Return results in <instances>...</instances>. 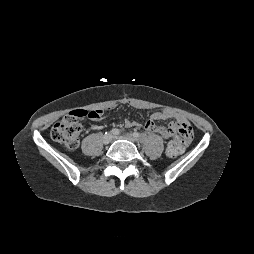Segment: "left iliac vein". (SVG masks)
<instances>
[{"label": "left iliac vein", "instance_id": "1", "mask_svg": "<svg viewBox=\"0 0 254 254\" xmlns=\"http://www.w3.org/2000/svg\"><path fill=\"white\" fill-rule=\"evenodd\" d=\"M120 138H123V139H126L130 142H135V138L132 134L128 133V134H125L123 136H116L115 139H120Z\"/></svg>", "mask_w": 254, "mask_h": 254}]
</instances>
